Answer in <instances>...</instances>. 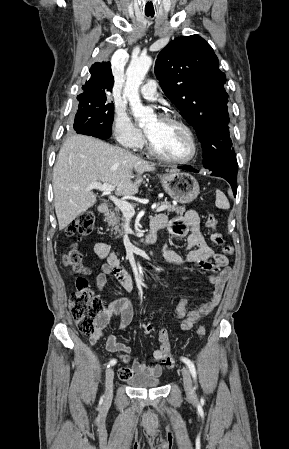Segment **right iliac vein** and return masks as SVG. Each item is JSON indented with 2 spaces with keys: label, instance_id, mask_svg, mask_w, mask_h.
Here are the masks:
<instances>
[{
  "label": "right iliac vein",
  "instance_id": "obj_1",
  "mask_svg": "<svg viewBox=\"0 0 289 449\" xmlns=\"http://www.w3.org/2000/svg\"><path fill=\"white\" fill-rule=\"evenodd\" d=\"M113 379H114V370L109 368L105 373V394L104 401L107 403L111 400L113 395Z\"/></svg>",
  "mask_w": 289,
  "mask_h": 449
}]
</instances>
